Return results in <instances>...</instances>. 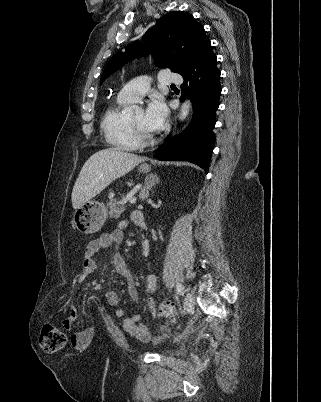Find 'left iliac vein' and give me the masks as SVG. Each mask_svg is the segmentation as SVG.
Listing matches in <instances>:
<instances>
[{
	"instance_id": "1",
	"label": "left iliac vein",
	"mask_w": 321,
	"mask_h": 402,
	"mask_svg": "<svg viewBox=\"0 0 321 402\" xmlns=\"http://www.w3.org/2000/svg\"><path fill=\"white\" fill-rule=\"evenodd\" d=\"M194 306V296L191 292H188L185 296L184 300V309L182 311V314L187 313L189 310H191Z\"/></svg>"
}]
</instances>
